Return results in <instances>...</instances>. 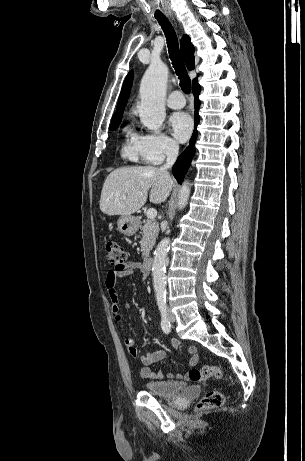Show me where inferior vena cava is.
<instances>
[{"mask_svg": "<svg viewBox=\"0 0 305 461\" xmlns=\"http://www.w3.org/2000/svg\"><path fill=\"white\" fill-rule=\"evenodd\" d=\"M179 152V146L177 143H169L166 148V163L160 167V170L165 174L169 175L168 169L175 163Z\"/></svg>", "mask_w": 305, "mask_h": 461, "instance_id": "1", "label": "inferior vena cava"}]
</instances>
